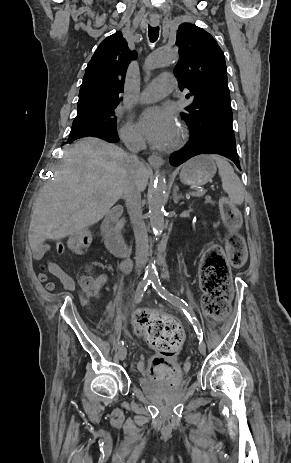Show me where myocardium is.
<instances>
[{"instance_id": "obj_1", "label": "myocardium", "mask_w": 291, "mask_h": 463, "mask_svg": "<svg viewBox=\"0 0 291 463\" xmlns=\"http://www.w3.org/2000/svg\"><path fill=\"white\" fill-rule=\"evenodd\" d=\"M186 137H187V133L184 127L178 126L174 138L169 143L170 144L169 148L176 149L180 147L185 142Z\"/></svg>"}]
</instances>
